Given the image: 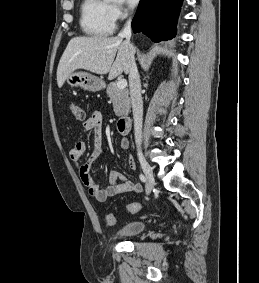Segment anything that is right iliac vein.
<instances>
[{
    "mask_svg": "<svg viewBox=\"0 0 259 283\" xmlns=\"http://www.w3.org/2000/svg\"><path fill=\"white\" fill-rule=\"evenodd\" d=\"M138 158L141 164V167L144 171L145 177L147 179V194H150L152 188L155 186V178L152 172V169L149 163L146 161L142 153L138 154Z\"/></svg>",
    "mask_w": 259,
    "mask_h": 283,
    "instance_id": "right-iliac-vein-1",
    "label": "right iliac vein"
}]
</instances>
